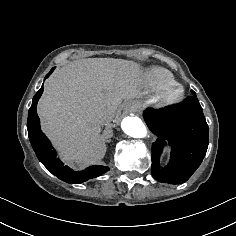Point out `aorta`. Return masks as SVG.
I'll return each mask as SVG.
<instances>
[{
	"instance_id": "obj_1",
	"label": "aorta",
	"mask_w": 236,
	"mask_h": 236,
	"mask_svg": "<svg viewBox=\"0 0 236 236\" xmlns=\"http://www.w3.org/2000/svg\"><path fill=\"white\" fill-rule=\"evenodd\" d=\"M123 132L133 138H144L147 128L142 120L135 116H127L121 122Z\"/></svg>"
}]
</instances>
